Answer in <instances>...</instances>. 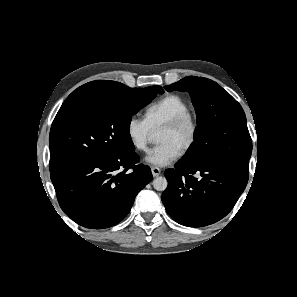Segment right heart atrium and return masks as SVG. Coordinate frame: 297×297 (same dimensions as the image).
<instances>
[{"label": "right heart atrium", "instance_id": "d8ad5b80", "mask_svg": "<svg viewBox=\"0 0 297 297\" xmlns=\"http://www.w3.org/2000/svg\"><path fill=\"white\" fill-rule=\"evenodd\" d=\"M152 132L146 119L139 115H132L127 121V136L133 147L138 151L147 150Z\"/></svg>", "mask_w": 297, "mask_h": 297}]
</instances>
